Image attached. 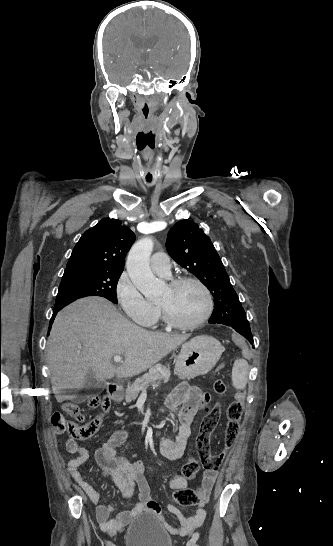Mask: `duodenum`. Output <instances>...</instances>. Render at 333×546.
<instances>
[{
	"mask_svg": "<svg viewBox=\"0 0 333 546\" xmlns=\"http://www.w3.org/2000/svg\"><path fill=\"white\" fill-rule=\"evenodd\" d=\"M108 396L112 400H118L121 390L120 387L116 384H109L107 387Z\"/></svg>",
	"mask_w": 333,
	"mask_h": 546,
	"instance_id": "obj_1",
	"label": "duodenum"
}]
</instances>
